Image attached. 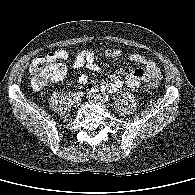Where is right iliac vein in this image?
Returning a JSON list of instances; mask_svg holds the SVG:
<instances>
[{"instance_id":"63e3f726","label":"right iliac vein","mask_w":195,"mask_h":195,"mask_svg":"<svg viewBox=\"0 0 195 195\" xmlns=\"http://www.w3.org/2000/svg\"><path fill=\"white\" fill-rule=\"evenodd\" d=\"M80 103H81V98H79V97H74V99H73V101H72L73 106L77 107V106L80 105Z\"/></svg>"}]
</instances>
